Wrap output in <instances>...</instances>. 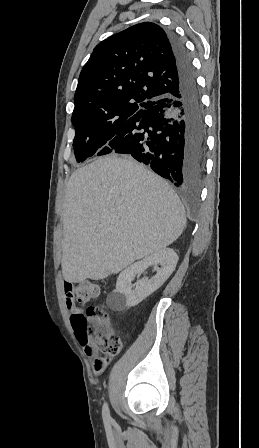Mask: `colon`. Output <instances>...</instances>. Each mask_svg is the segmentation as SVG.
<instances>
[{
    "label": "colon",
    "mask_w": 259,
    "mask_h": 448,
    "mask_svg": "<svg viewBox=\"0 0 259 448\" xmlns=\"http://www.w3.org/2000/svg\"><path fill=\"white\" fill-rule=\"evenodd\" d=\"M100 294V286L92 281L79 282L74 288V298L79 305H87ZM77 339L85 346L93 344L105 355H117L122 341L114 331L107 310L103 306H90L82 314L71 317Z\"/></svg>",
    "instance_id": "obj_1"
}]
</instances>
